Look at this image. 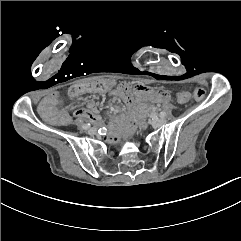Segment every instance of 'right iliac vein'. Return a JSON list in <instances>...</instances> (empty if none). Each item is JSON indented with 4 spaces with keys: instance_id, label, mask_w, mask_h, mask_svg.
<instances>
[{
    "instance_id": "right-iliac-vein-1",
    "label": "right iliac vein",
    "mask_w": 241,
    "mask_h": 241,
    "mask_svg": "<svg viewBox=\"0 0 241 241\" xmlns=\"http://www.w3.org/2000/svg\"><path fill=\"white\" fill-rule=\"evenodd\" d=\"M96 132H97V129H96V128H90V129H88V133H89L90 135H95Z\"/></svg>"
}]
</instances>
